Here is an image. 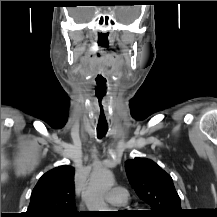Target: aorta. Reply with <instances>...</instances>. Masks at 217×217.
Returning a JSON list of instances; mask_svg holds the SVG:
<instances>
[{"mask_svg": "<svg viewBox=\"0 0 217 217\" xmlns=\"http://www.w3.org/2000/svg\"><path fill=\"white\" fill-rule=\"evenodd\" d=\"M114 185L110 170L96 168L90 177L87 189L83 195L89 211H110L104 202L105 193Z\"/></svg>", "mask_w": 217, "mask_h": 217, "instance_id": "762f6f07", "label": "aorta"}]
</instances>
